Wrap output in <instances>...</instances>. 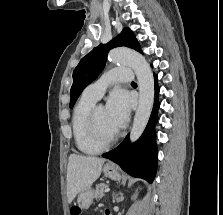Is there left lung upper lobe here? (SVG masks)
Segmentation results:
<instances>
[{
	"instance_id": "obj_1",
	"label": "left lung upper lobe",
	"mask_w": 223,
	"mask_h": 215,
	"mask_svg": "<svg viewBox=\"0 0 223 215\" xmlns=\"http://www.w3.org/2000/svg\"><path fill=\"white\" fill-rule=\"evenodd\" d=\"M118 46L130 47L142 53L135 35L129 28H124L123 31L109 43L100 44L95 47L81 59L73 72V84L70 91V108L74 106L75 101L83 89L103 70L108 51Z\"/></svg>"
}]
</instances>
